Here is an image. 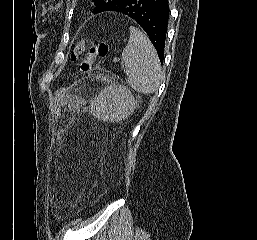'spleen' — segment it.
Returning <instances> with one entry per match:
<instances>
[{
    "mask_svg": "<svg viewBox=\"0 0 257 240\" xmlns=\"http://www.w3.org/2000/svg\"><path fill=\"white\" fill-rule=\"evenodd\" d=\"M126 82L135 91L151 94L158 90L162 70L155 48L138 28L130 27V38L122 52Z\"/></svg>",
    "mask_w": 257,
    "mask_h": 240,
    "instance_id": "spleen-1",
    "label": "spleen"
}]
</instances>
